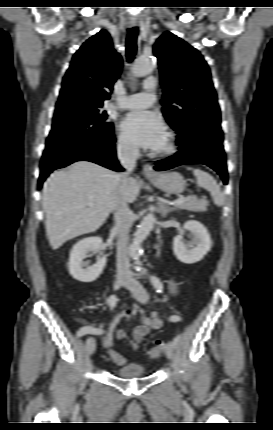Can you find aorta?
Here are the masks:
<instances>
[{
	"label": "aorta",
	"mask_w": 273,
	"mask_h": 430,
	"mask_svg": "<svg viewBox=\"0 0 273 430\" xmlns=\"http://www.w3.org/2000/svg\"><path fill=\"white\" fill-rule=\"evenodd\" d=\"M154 68L155 61L152 57H140L134 64L133 74L137 77H144L151 74ZM155 221V216L152 213L147 214L134 233L133 241L128 248V254L136 263L141 255V244L152 231Z\"/></svg>",
	"instance_id": "obj_1"
}]
</instances>
